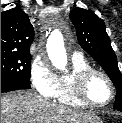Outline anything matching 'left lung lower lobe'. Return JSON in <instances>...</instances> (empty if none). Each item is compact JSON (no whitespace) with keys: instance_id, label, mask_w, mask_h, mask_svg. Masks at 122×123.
I'll return each instance as SVG.
<instances>
[{"instance_id":"obj_1","label":"left lung lower lobe","mask_w":122,"mask_h":123,"mask_svg":"<svg viewBox=\"0 0 122 123\" xmlns=\"http://www.w3.org/2000/svg\"><path fill=\"white\" fill-rule=\"evenodd\" d=\"M118 111L122 112V109H119Z\"/></svg>"}]
</instances>
